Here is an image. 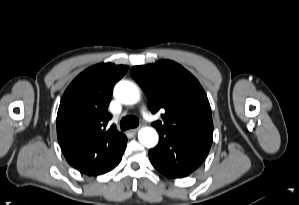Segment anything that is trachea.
<instances>
[{"label":"trachea","mask_w":299,"mask_h":205,"mask_svg":"<svg viewBox=\"0 0 299 205\" xmlns=\"http://www.w3.org/2000/svg\"><path fill=\"white\" fill-rule=\"evenodd\" d=\"M139 125V121L134 116H126L121 119L120 127L121 130H127L129 128H135Z\"/></svg>","instance_id":"1"}]
</instances>
